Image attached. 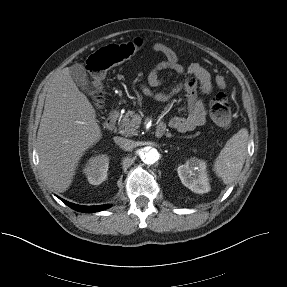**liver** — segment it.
<instances>
[{
    "instance_id": "liver-1",
    "label": "liver",
    "mask_w": 287,
    "mask_h": 287,
    "mask_svg": "<svg viewBox=\"0 0 287 287\" xmlns=\"http://www.w3.org/2000/svg\"><path fill=\"white\" fill-rule=\"evenodd\" d=\"M101 137L95 109L62 69L49 84L37 133L42 175L56 192L69 188L84 152Z\"/></svg>"
}]
</instances>
